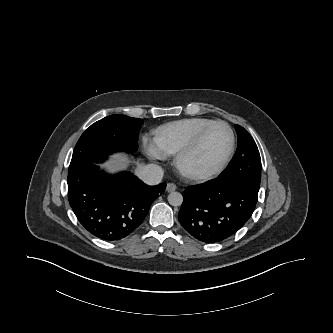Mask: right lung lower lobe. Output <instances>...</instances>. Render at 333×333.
Listing matches in <instances>:
<instances>
[{
	"label": "right lung lower lobe",
	"instance_id": "obj_1",
	"mask_svg": "<svg viewBox=\"0 0 333 333\" xmlns=\"http://www.w3.org/2000/svg\"><path fill=\"white\" fill-rule=\"evenodd\" d=\"M68 199L78 221L92 235L116 241L143 222L166 183L148 186L130 172L109 175L89 163L68 173Z\"/></svg>",
	"mask_w": 333,
	"mask_h": 333
}]
</instances>
